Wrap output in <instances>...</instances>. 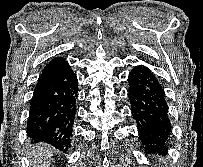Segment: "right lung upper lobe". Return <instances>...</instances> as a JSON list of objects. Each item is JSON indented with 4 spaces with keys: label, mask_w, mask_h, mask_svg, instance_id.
I'll return each mask as SVG.
<instances>
[{
    "label": "right lung upper lobe",
    "mask_w": 203,
    "mask_h": 167,
    "mask_svg": "<svg viewBox=\"0 0 203 167\" xmlns=\"http://www.w3.org/2000/svg\"><path fill=\"white\" fill-rule=\"evenodd\" d=\"M64 63H65V60L62 57L52 60L48 65H46L40 78L46 77L56 72Z\"/></svg>",
    "instance_id": "cb5924a9"
}]
</instances>
